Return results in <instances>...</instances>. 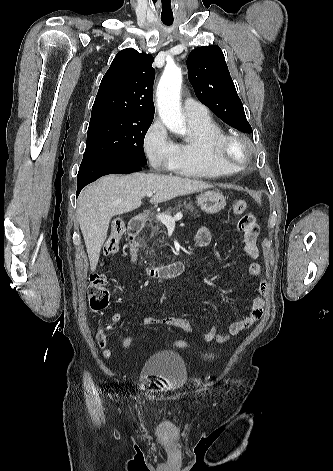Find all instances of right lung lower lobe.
I'll return each mask as SVG.
<instances>
[{"instance_id": "98d812e1", "label": "right lung lower lobe", "mask_w": 333, "mask_h": 471, "mask_svg": "<svg viewBox=\"0 0 333 471\" xmlns=\"http://www.w3.org/2000/svg\"><path fill=\"white\" fill-rule=\"evenodd\" d=\"M140 165L124 164L114 161H87L82 162L77 175V194L87 184L97 180L101 176L107 174H129L136 171H141Z\"/></svg>"}]
</instances>
